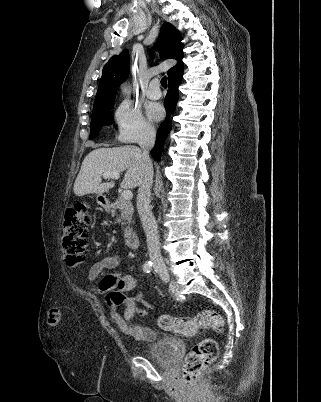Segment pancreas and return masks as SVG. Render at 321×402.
Here are the masks:
<instances>
[{"label":"pancreas","instance_id":"cf45deb5","mask_svg":"<svg viewBox=\"0 0 321 402\" xmlns=\"http://www.w3.org/2000/svg\"><path fill=\"white\" fill-rule=\"evenodd\" d=\"M118 211V213H117ZM134 208L129 200L119 198L111 209L112 216H116V221L119 224L130 225L132 223Z\"/></svg>","mask_w":321,"mask_h":402}]
</instances>
